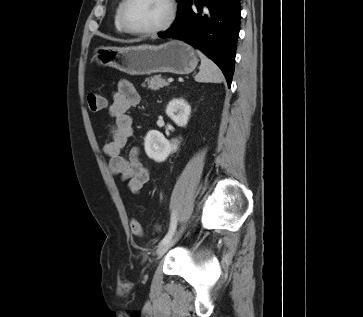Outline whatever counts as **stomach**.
<instances>
[{"instance_id":"obj_1","label":"stomach","mask_w":363,"mask_h":317,"mask_svg":"<svg viewBox=\"0 0 363 317\" xmlns=\"http://www.w3.org/2000/svg\"><path fill=\"white\" fill-rule=\"evenodd\" d=\"M94 58L100 66H110L130 75L158 72L184 75L198 64L194 49L180 40L158 46L100 47L95 50Z\"/></svg>"}]
</instances>
